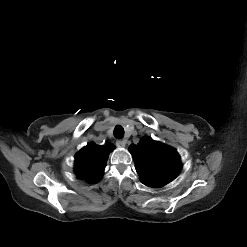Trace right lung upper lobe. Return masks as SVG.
Wrapping results in <instances>:
<instances>
[{
	"mask_svg": "<svg viewBox=\"0 0 247 247\" xmlns=\"http://www.w3.org/2000/svg\"><path fill=\"white\" fill-rule=\"evenodd\" d=\"M112 144L105 146L89 143L81 149L75 157V173L81 180L97 182L100 180L105 169L106 161L111 150Z\"/></svg>",
	"mask_w": 247,
	"mask_h": 247,
	"instance_id": "cb5924a9",
	"label": "right lung upper lobe"
}]
</instances>
